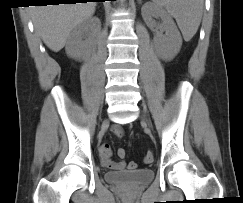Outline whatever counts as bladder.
<instances>
[{
  "label": "bladder",
  "mask_w": 243,
  "mask_h": 203,
  "mask_svg": "<svg viewBox=\"0 0 243 203\" xmlns=\"http://www.w3.org/2000/svg\"><path fill=\"white\" fill-rule=\"evenodd\" d=\"M104 179L111 184L141 185L154 179V171L152 169L108 171L105 172Z\"/></svg>",
  "instance_id": "bladder-1"
}]
</instances>
